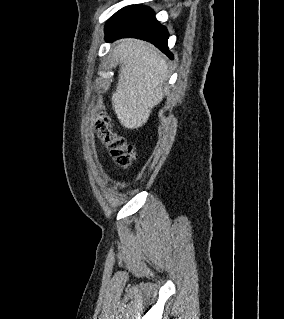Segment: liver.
Instances as JSON below:
<instances>
[{
	"label": "liver",
	"mask_w": 284,
	"mask_h": 319,
	"mask_svg": "<svg viewBox=\"0 0 284 319\" xmlns=\"http://www.w3.org/2000/svg\"><path fill=\"white\" fill-rule=\"evenodd\" d=\"M113 56L121 65L112 106L125 128L137 129L147 122L151 110L164 97L168 65L155 47L137 39L120 42Z\"/></svg>",
	"instance_id": "obj_1"
}]
</instances>
